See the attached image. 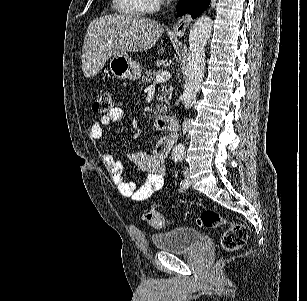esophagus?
<instances>
[{
  "label": "esophagus",
  "instance_id": "1",
  "mask_svg": "<svg viewBox=\"0 0 307 301\" xmlns=\"http://www.w3.org/2000/svg\"><path fill=\"white\" fill-rule=\"evenodd\" d=\"M191 23V16L190 15H184L181 17L174 25L173 33L181 38L186 30L189 28V25Z\"/></svg>",
  "mask_w": 307,
  "mask_h": 301
}]
</instances>
